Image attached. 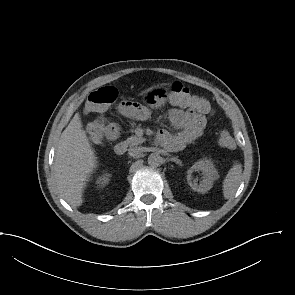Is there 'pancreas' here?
Segmentation results:
<instances>
[{"instance_id":"1","label":"pancreas","mask_w":295,"mask_h":295,"mask_svg":"<svg viewBox=\"0 0 295 295\" xmlns=\"http://www.w3.org/2000/svg\"><path fill=\"white\" fill-rule=\"evenodd\" d=\"M144 141L145 139L143 137L131 136L125 141V143L129 145L130 147H133L143 143Z\"/></svg>"}]
</instances>
